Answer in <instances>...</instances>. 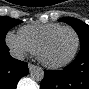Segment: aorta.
Instances as JSON below:
<instances>
[{
    "mask_svg": "<svg viewBox=\"0 0 89 89\" xmlns=\"http://www.w3.org/2000/svg\"><path fill=\"white\" fill-rule=\"evenodd\" d=\"M30 77L32 80L39 82L42 81L44 78V71L41 67L33 66L30 69Z\"/></svg>",
    "mask_w": 89,
    "mask_h": 89,
    "instance_id": "1",
    "label": "aorta"
}]
</instances>
